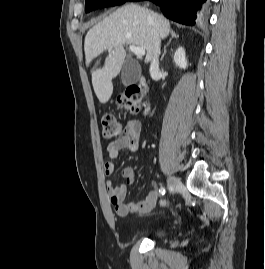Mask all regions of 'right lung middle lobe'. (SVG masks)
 I'll use <instances>...</instances> for the list:
<instances>
[{
    "instance_id": "obj_1",
    "label": "right lung middle lobe",
    "mask_w": 265,
    "mask_h": 269,
    "mask_svg": "<svg viewBox=\"0 0 265 269\" xmlns=\"http://www.w3.org/2000/svg\"><path fill=\"white\" fill-rule=\"evenodd\" d=\"M128 0H86V12H90L97 8H102L105 6H116L124 3Z\"/></svg>"
}]
</instances>
